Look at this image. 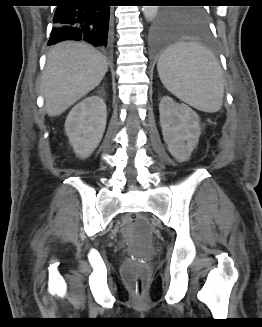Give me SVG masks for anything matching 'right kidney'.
Masks as SVG:
<instances>
[{
    "mask_svg": "<svg viewBox=\"0 0 262 327\" xmlns=\"http://www.w3.org/2000/svg\"><path fill=\"white\" fill-rule=\"evenodd\" d=\"M106 119V105L99 96L83 99L69 112L65 131L79 157H88L98 146L105 131Z\"/></svg>",
    "mask_w": 262,
    "mask_h": 327,
    "instance_id": "obj_1",
    "label": "right kidney"
}]
</instances>
